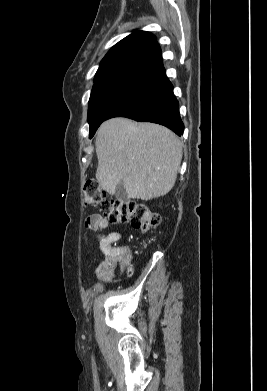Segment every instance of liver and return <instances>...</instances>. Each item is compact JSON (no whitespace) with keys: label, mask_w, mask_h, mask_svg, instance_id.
I'll return each instance as SVG.
<instances>
[{"label":"liver","mask_w":267,"mask_h":391,"mask_svg":"<svg viewBox=\"0 0 267 391\" xmlns=\"http://www.w3.org/2000/svg\"><path fill=\"white\" fill-rule=\"evenodd\" d=\"M95 147L96 179L111 195L122 182L128 198L147 201L166 195L175 184L182 143L161 125L113 118L99 127Z\"/></svg>","instance_id":"liver-1"}]
</instances>
